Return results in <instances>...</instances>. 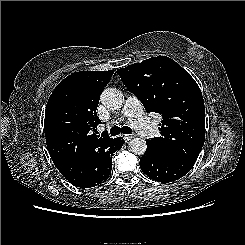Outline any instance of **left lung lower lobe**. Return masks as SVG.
Segmentation results:
<instances>
[{
  "instance_id": "1",
  "label": "left lung lower lobe",
  "mask_w": 245,
  "mask_h": 245,
  "mask_svg": "<svg viewBox=\"0 0 245 245\" xmlns=\"http://www.w3.org/2000/svg\"><path fill=\"white\" fill-rule=\"evenodd\" d=\"M196 161L167 158L147 148L140 159L141 170L151 179L169 183L186 175Z\"/></svg>"
}]
</instances>
